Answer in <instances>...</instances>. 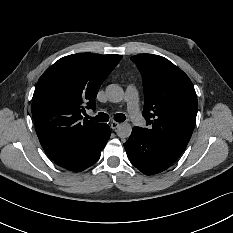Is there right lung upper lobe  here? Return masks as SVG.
<instances>
[{"label":"right lung upper lobe","instance_id":"right-lung-upper-lobe-1","mask_svg":"<svg viewBox=\"0 0 233 233\" xmlns=\"http://www.w3.org/2000/svg\"><path fill=\"white\" fill-rule=\"evenodd\" d=\"M121 55L73 54L59 59L40 77L32 100V117L40 143L50 159L64 155L97 136L104 123L81 121L95 109L102 82Z\"/></svg>","mask_w":233,"mask_h":233}]
</instances>
